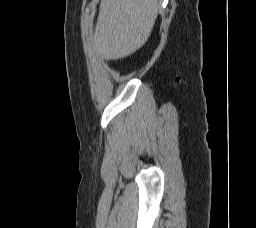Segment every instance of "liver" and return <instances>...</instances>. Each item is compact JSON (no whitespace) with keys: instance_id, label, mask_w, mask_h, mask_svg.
<instances>
[{"instance_id":"1","label":"liver","mask_w":256,"mask_h":228,"mask_svg":"<svg viewBox=\"0 0 256 228\" xmlns=\"http://www.w3.org/2000/svg\"><path fill=\"white\" fill-rule=\"evenodd\" d=\"M158 0H101L93 45L104 60L127 57L148 40Z\"/></svg>"}]
</instances>
